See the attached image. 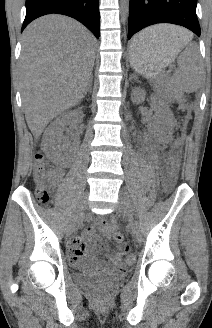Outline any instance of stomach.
<instances>
[{"label":"stomach","mask_w":212,"mask_h":328,"mask_svg":"<svg viewBox=\"0 0 212 328\" xmlns=\"http://www.w3.org/2000/svg\"><path fill=\"white\" fill-rule=\"evenodd\" d=\"M130 47V62L133 69L146 78H155L161 71L174 60L184 43L176 39H166L147 48L136 50Z\"/></svg>","instance_id":"1"}]
</instances>
